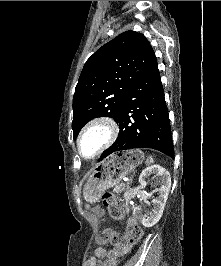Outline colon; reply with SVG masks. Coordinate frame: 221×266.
Listing matches in <instances>:
<instances>
[{"mask_svg":"<svg viewBox=\"0 0 221 266\" xmlns=\"http://www.w3.org/2000/svg\"><path fill=\"white\" fill-rule=\"evenodd\" d=\"M102 204L107 208L109 215L120 220L124 216L122 202L110 192H105L101 197ZM143 231L133 218H128L126 221L125 233H118L110 229L103 230L97 236L99 244H114L122 245L125 243L135 244L142 237Z\"/></svg>","mask_w":221,"mask_h":266,"instance_id":"1","label":"colon"}]
</instances>
